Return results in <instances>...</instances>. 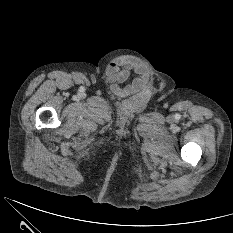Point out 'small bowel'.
<instances>
[{
	"label": "small bowel",
	"instance_id": "1",
	"mask_svg": "<svg viewBox=\"0 0 233 233\" xmlns=\"http://www.w3.org/2000/svg\"><path fill=\"white\" fill-rule=\"evenodd\" d=\"M132 72L136 74L135 78L130 83L123 85L130 78ZM106 78L116 96L126 97L135 95L146 87L149 71L138 58L120 56L107 65Z\"/></svg>",
	"mask_w": 233,
	"mask_h": 233
}]
</instances>
